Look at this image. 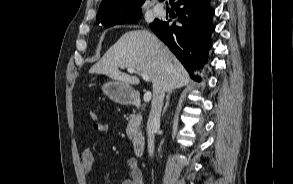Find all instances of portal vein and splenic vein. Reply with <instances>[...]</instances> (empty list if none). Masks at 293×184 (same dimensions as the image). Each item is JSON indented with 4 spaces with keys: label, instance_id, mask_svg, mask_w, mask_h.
<instances>
[{
    "label": "portal vein and splenic vein",
    "instance_id": "obj_1",
    "mask_svg": "<svg viewBox=\"0 0 293 184\" xmlns=\"http://www.w3.org/2000/svg\"><path fill=\"white\" fill-rule=\"evenodd\" d=\"M124 68V67H123ZM127 68V71L129 73H138L142 76V78L146 81V82H149V76L144 74V73H140L138 71H136L135 69L131 68V67H126ZM151 97H152V93L150 91H147L145 94H144V97H143V100L144 102H149L151 100Z\"/></svg>",
    "mask_w": 293,
    "mask_h": 184
}]
</instances>
